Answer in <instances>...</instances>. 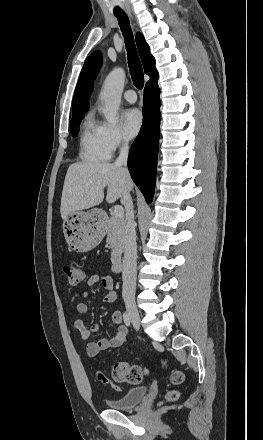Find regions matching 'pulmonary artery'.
<instances>
[{
	"instance_id": "pulmonary-artery-1",
	"label": "pulmonary artery",
	"mask_w": 263,
	"mask_h": 440,
	"mask_svg": "<svg viewBox=\"0 0 263 440\" xmlns=\"http://www.w3.org/2000/svg\"><path fill=\"white\" fill-rule=\"evenodd\" d=\"M123 97L126 101H128L130 103H134L137 100L136 93L131 89L126 90L123 94Z\"/></svg>"
}]
</instances>
